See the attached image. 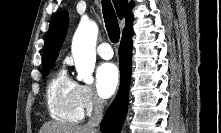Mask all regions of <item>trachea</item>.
Wrapping results in <instances>:
<instances>
[{
  "label": "trachea",
  "mask_w": 221,
  "mask_h": 133,
  "mask_svg": "<svg viewBox=\"0 0 221 133\" xmlns=\"http://www.w3.org/2000/svg\"><path fill=\"white\" fill-rule=\"evenodd\" d=\"M102 9L105 26L108 36L113 43H118L120 38V28L116 13L110 0H102Z\"/></svg>",
  "instance_id": "1"
}]
</instances>
